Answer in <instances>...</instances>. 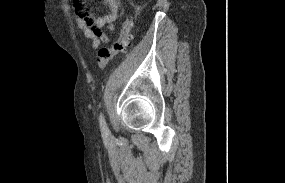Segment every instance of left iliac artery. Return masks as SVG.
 Masks as SVG:
<instances>
[{"mask_svg": "<svg viewBox=\"0 0 285 183\" xmlns=\"http://www.w3.org/2000/svg\"><path fill=\"white\" fill-rule=\"evenodd\" d=\"M99 125L102 133L106 135L110 133L103 113H100L99 115Z\"/></svg>", "mask_w": 285, "mask_h": 183, "instance_id": "obj_1", "label": "left iliac artery"}]
</instances>
